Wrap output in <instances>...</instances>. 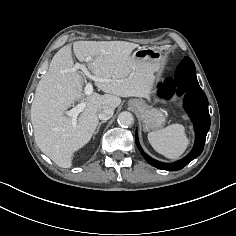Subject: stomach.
Segmentation results:
<instances>
[{
	"label": "stomach",
	"instance_id": "obj_1",
	"mask_svg": "<svg viewBox=\"0 0 236 236\" xmlns=\"http://www.w3.org/2000/svg\"><path fill=\"white\" fill-rule=\"evenodd\" d=\"M132 57L135 59H149L159 64L161 62L160 53L151 48H139L132 54ZM139 115L145 130H156L164 125L167 111L162 108H155L143 104L142 108L139 110Z\"/></svg>",
	"mask_w": 236,
	"mask_h": 236
}]
</instances>
